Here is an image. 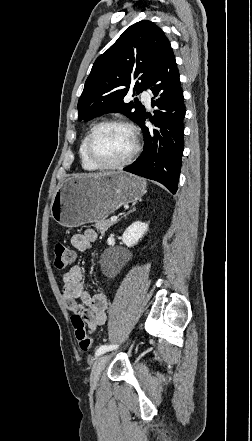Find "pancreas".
<instances>
[{"label":"pancreas","instance_id":"pancreas-1","mask_svg":"<svg viewBox=\"0 0 252 441\" xmlns=\"http://www.w3.org/2000/svg\"><path fill=\"white\" fill-rule=\"evenodd\" d=\"M114 223L110 220H99L95 221V227L100 231V233L103 235L108 228H110Z\"/></svg>","mask_w":252,"mask_h":441}]
</instances>
